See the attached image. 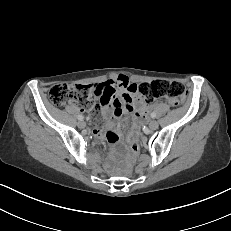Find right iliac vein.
Wrapping results in <instances>:
<instances>
[{"label":"right iliac vein","instance_id":"1","mask_svg":"<svg viewBox=\"0 0 231 231\" xmlns=\"http://www.w3.org/2000/svg\"><path fill=\"white\" fill-rule=\"evenodd\" d=\"M78 127L80 128V129H83V128H85L86 127V123L84 122V121H79L78 122Z\"/></svg>","mask_w":231,"mask_h":231}]
</instances>
